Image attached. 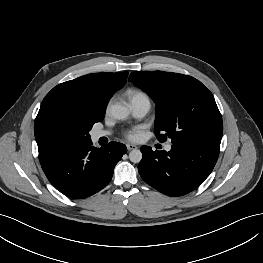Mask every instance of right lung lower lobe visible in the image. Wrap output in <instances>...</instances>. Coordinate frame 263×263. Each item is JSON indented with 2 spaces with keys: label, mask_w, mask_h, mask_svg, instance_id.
I'll use <instances>...</instances> for the list:
<instances>
[{
  "label": "right lung lower lobe",
  "mask_w": 263,
  "mask_h": 263,
  "mask_svg": "<svg viewBox=\"0 0 263 263\" xmlns=\"http://www.w3.org/2000/svg\"><path fill=\"white\" fill-rule=\"evenodd\" d=\"M126 152V146L118 142L96 149L89 140L67 147L40 164L56 189L70 198L80 199L108 185L115 165Z\"/></svg>",
  "instance_id": "1"
}]
</instances>
